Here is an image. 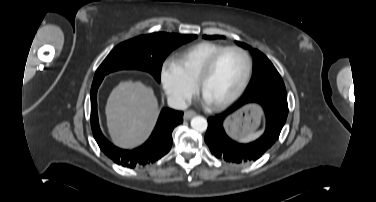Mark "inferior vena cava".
Instances as JSON below:
<instances>
[{
	"instance_id": "602c4592",
	"label": "inferior vena cava",
	"mask_w": 376,
	"mask_h": 202,
	"mask_svg": "<svg viewBox=\"0 0 376 202\" xmlns=\"http://www.w3.org/2000/svg\"><path fill=\"white\" fill-rule=\"evenodd\" d=\"M167 104L169 107L176 110H185L188 107L185 99L181 96H168Z\"/></svg>"
}]
</instances>
